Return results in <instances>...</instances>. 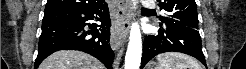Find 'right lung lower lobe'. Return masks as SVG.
I'll return each instance as SVG.
<instances>
[{"instance_id": "obj_1", "label": "right lung lower lobe", "mask_w": 246, "mask_h": 69, "mask_svg": "<svg viewBox=\"0 0 246 69\" xmlns=\"http://www.w3.org/2000/svg\"><path fill=\"white\" fill-rule=\"evenodd\" d=\"M98 20L101 25L88 21ZM110 16L107 4L83 9L46 11L42 21L35 69L50 54L61 49L81 50L112 69L114 52L110 47Z\"/></svg>"}]
</instances>
